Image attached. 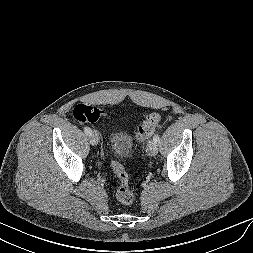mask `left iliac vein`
Listing matches in <instances>:
<instances>
[{
	"label": "left iliac vein",
	"mask_w": 253,
	"mask_h": 253,
	"mask_svg": "<svg viewBox=\"0 0 253 253\" xmlns=\"http://www.w3.org/2000/svg\"><path fill=\"white\" fill-rule=\"evenodd\" d=\"M147 152L150 156H155L158 153V144L153 140L149 141L147 145Z\"/></svg>",
	"instance_id": "1"
}]
</instances>
